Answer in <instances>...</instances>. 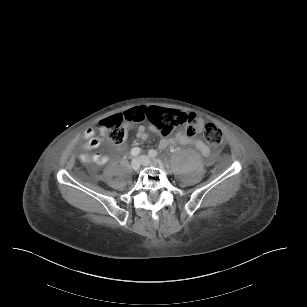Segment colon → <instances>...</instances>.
<instances>
[{
  "mask_svg": "<svg viewBox=\"0 0 307 307\" xmlns=\"http://www.w3.org/2000/svg\"><path fill=\"white\" fill-rule=\"evenodd\" d=\"M127 116L145 118L163 136H169L174 129L181 127L188 135H193L196 131L202 130L203 137L209 146L215 149L222 147V134L216 125L213 123L204 124L193 114L168 109L132 111L129 108L126 115H115L109 119H103L98 125L102 137L112 144H122L127 137V130L124 125Z\"/></svg>",
  "mask_w": 307,
  "mask_h": 307,
  "instance_id": "1",
  "label": "colon"
}]
</instances>
